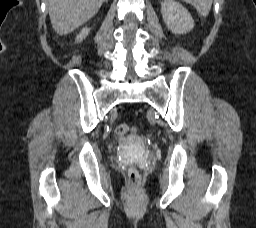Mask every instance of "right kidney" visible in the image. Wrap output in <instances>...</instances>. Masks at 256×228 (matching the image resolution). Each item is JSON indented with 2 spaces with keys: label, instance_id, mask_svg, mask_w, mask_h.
I'll return each mask as SVG.
<instances>
[{
  "label": "right kidney",
  "instance_id": "right-kidney-1",
  "mask_svg": "<svg viewBox=\"0 0 256 228\" xmlns=\"http://www.w3.org/2000/svg\"><path fill=\"white\" fill-rule=\"evenodd\" d=\"M89 29L87 27L83 28L82 31L80 32L79 35H77L76 37V42H82L86 37L87 35L89 34Z\"/></svg>",
  "mask_w": 256,
  "mask_h": 228
}]
</instances>
